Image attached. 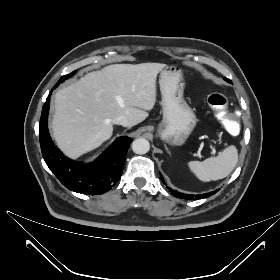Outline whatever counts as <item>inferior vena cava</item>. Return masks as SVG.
<instances>
[{
    "instance_id": "obj_1",
    "label": "inferior vena cava",
    "mask_w": 280,
    "mask_h": 280,
    "mask_svg": "<svg viewBox=\"0 0 280 280\" xmlns=\"http://www.w3.org/2000/svg\"><path fill=\"white\" fill-rule=\"evenodd\" d=\"M114 124L122 125L124 127H129L130 123L129 120L125 116H118L113 120Z\"/></svg>"
}]
</instances>
